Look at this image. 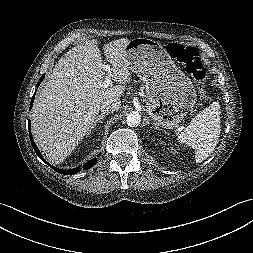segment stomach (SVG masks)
Instances as JSON below:
<instances>
[{"instance_id":"1","label":"stomach","mask_w":253,"mask_h":253,"mask_svg":"<svg viewBox=\"0 0 253 253\" xmlns=\"http://www.w3.org/2000/svg\"><path fill=\"white\" fill-rule=\"evenodd\" d=\"M129 67L144 82L147 112L156 126L177 127L196 102L191 80L179 70L161 43L135 38L125 47Z\"/></svg>"}]
</instances>
